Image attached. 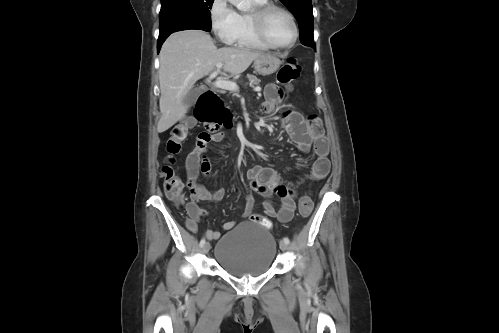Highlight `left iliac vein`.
I'll return each instance as SVG.
<instances>
[{"instance_id": "obj_1", "label": "left iliac vein", "mask_w": 499, "mask_h": 333, "mask_svg": "<svg viewBox=\"0 0 499 333\" xmlns=\"http://www.w3.org/2000/svg\"><path fill=\"white\" fill-rule=\"evenodd\" d=\"M279 246H280V249L282 251H287L288 250V244L285 243L284 241H280Z\"/></svg>"}]
</instances>
